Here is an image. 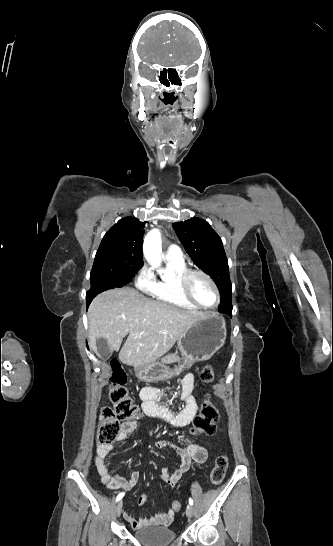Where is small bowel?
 Listing matches in <instances>:
<instances>
[{"mask_svg":"<svg viewBox=\"0 0 333 546\" xmlns=\"http://www.w3.org/2000/svg\"><path fill=\"white\" fill-rule=\"evenodd\" d=\"M194 377L191 373L184 376L181 388L177 397L179 402H183L185 406L177 413H173L165 407L169 399L162 391L154 387H143L140 390L139 397L141 400V408L146 416L157 418L174 428H183L190 424L196 416L198 410L197 401L193 395ZM138 425L137 420L124 422L118 441L124 442L132 436ZM159 448L172 447L181 457L182 464L180 467L173 470L164 469L161 475V480L173 487L181 479L192 463L202 464L207 459L206 448L197 444L181 445L178 442L162 439L158 441ZM113 450V446L98 444L95 455V466L100 476L101 482L109 489H124L131 490L139 480V473L133 472L130 478L124 479L118 474H111L108 468V457ZM139 503L143 504L146 501V496L139 498ZM174 517L172 509L154 515L149 518L135 519L129 513L124 512V519L134 530L149 526H168Z\"/></svg>","mask_w":333,"mask_h":546,"instance_id":"c3829d8e","label":"small bowel"}]
</instances>
